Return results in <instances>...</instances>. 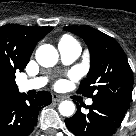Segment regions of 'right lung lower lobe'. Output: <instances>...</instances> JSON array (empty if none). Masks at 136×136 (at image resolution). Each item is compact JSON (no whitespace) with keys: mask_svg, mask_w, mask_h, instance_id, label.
<instances>
[{"mask_svg":"<svg viewBox=\"0 0 136 136\" xmlns=\"http://www.w3.org/2000/svg\"><path fill=\"white\" fill-rule=\"evenodd\" d=\"M51 102L47 91L35 97L18 93L0 100V136H28L37 123L38 110Z\"/></svg>","mask_w":136,"mask_h":136,"instance_id":"1","label":"right lung lower lobe"}]
</instances>
